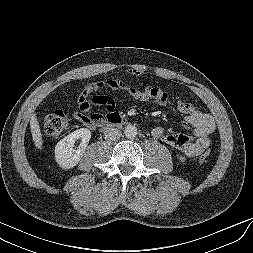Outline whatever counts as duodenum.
<instances>
[{
    "instance_id": "1",
    "label": "duodenum",
    "mask_w": 253,
    "mask_h": 253,
    "mask_svg": "<svg viewBox=\"0 0 253 253\" xmlns=\"http://www.w3.org/2000/svg\"><path fill=\"white\" fill-rule=\"evenodd\" d=\"M125 118L122 115L114 114L108 118V121L104 124L103 129L108 130L113 127L119 126L125 123Z\"/></svg>"
}]
</instances>
